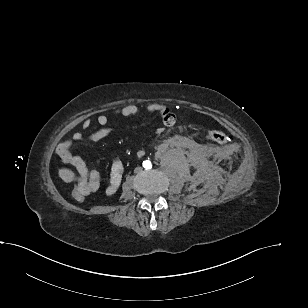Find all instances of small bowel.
I'll return each mask as SVG.
<instances>
[{
	"label": "small bowel",
	"instance_id": "small-bowel-1",
	"mask_svg": "<svg viewBox=\"0 0 308 308\" xmlns=\"http://www.w3.org/2000/svg\"><path fill=\"white\" fill-rule=\"evenodd\" d=\"M141 112L159 113L164 124L168 126L172 125L175 121V117L169 108L158 103L147 104L144 107L130 104L115 110L116 115H121L124 117L133 116ZM171 116V121L166 119ZM97 122L100 125V128L89 136V140L92 142L101 141L112 134V129L106 126L108 122L106 115H99ZM91 124V120L87 119L82 123V128L87 130L91 127ZM83 140H85L84 134L82 132H76L71 140H65L58 145L57 153L64 163L71 165L75 169L76 172L73 177L77 182V186L90 194L99 189L101 184V176L97 171L89 170L86 162L80 156L73 155L71 153L73 143L81 142ZM123 171L124 168L122 162L119 159H115L111 166L109 183L105 189L108 195H112L117 191L122 180Z\"/></svg>",
	"mask_w": 308,
	"mask_h": 308
}]
</instances>
